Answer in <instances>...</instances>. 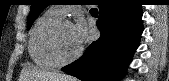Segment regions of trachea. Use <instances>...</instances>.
<instances>
[{"label":"trachea","instance_id":"trachea-1","mask_svg":"<svg viewBox=\"0 0 169 81\" xmlns=\"http://www.w3.org/2000/svg\"><path fill=\"white\" fill-rule=\"evenodd\" d=\"M91 11H97V9L96 8H92Z\"/></svg>","mask_w":169,"mask_h":81}]
</instances>
